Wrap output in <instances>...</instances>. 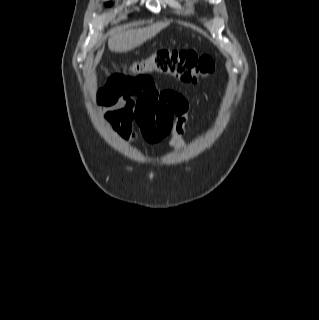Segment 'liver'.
<instances>
[{
    "instance_id": "6515ba94",
    "label": "liver",
    "mask_w": 319,
    "mask_h": 320,
    "mask_svg": "<svg viewBox=\"0 0 319 320\" xmlns=\"http://www.w3.org/2000/svg\"><path fill=\"white\" fill-rule=\"evenodd\" d=\"M167 26L168 23H156L145 28L121 29L110 36L108 47L112 52L117 53L130 51L154 37ZM102 54L103 48L96 55L95 66L99 63Z\"/></svg>"
}]
</instances>
